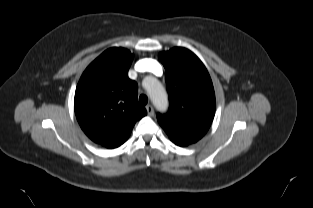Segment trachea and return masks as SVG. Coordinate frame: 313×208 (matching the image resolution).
<instances>
[{
    "mask_svg": "<svg viewBox=\"0 0 313 208\" xmlns=\"http://www.w3.org/2000/svg\"><path fill=\"white\" fill-rule=\"evenodd\" d=\"M139 102L141 105H146L148 103V97L144 94L140 95Z\"/></svg>",
    "mask_w": 313,
    "mask_h": 208,
    "instance_id": "obj_1",
    "label": "trachea"
}]
</instances>
